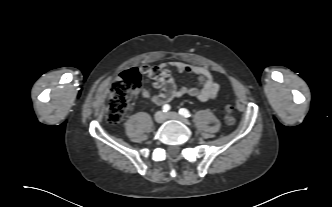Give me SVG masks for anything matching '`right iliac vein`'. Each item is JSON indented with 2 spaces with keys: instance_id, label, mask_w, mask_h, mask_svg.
Here are the masks:
<instances>
[{
  "instance_id": "63e3f726",
  "label": "right iliac vein",
  "mask_w": 332,
  "mask_h": 207,
  "mask_svg": "<svg viewBox=\"0 0 332 207\" xmlns=\"http://www.w3.org/2000/svg\"><path fill=\"white\" fill-rule=\"evenodd\" d=\"M154 119L157 123H163L166 120V115L162 111H158L154 115Z\"/></svg>"
}]
</instances>
